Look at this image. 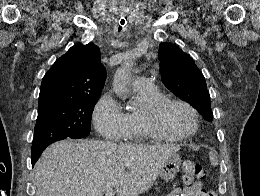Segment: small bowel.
<instances>
[{
  "label": "small bowel",
  "instance_id": "c3829d8e",
  "mask_svg": "<svg viewBox=\"0 0 260 196\" xmlns=\"http://www.w3.org/2000/svg\"><path fill=\"white\" fill-rule=\"evenodd\" d=\"M208 191L200 181H195L185 187H176L167 196H208Z\"/></svg>",
  "mask_w": 260,
  "mask_h": 196
}]
</instances>
